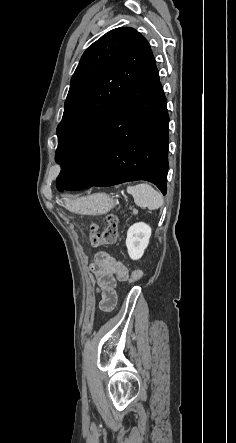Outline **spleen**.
Returning a JSON list of instances; mask_svg holds the SVG:
<instances>
[{"label":"spleen","instance_id":"spleen-1","mask_svg":"<svg viewBox=\"0 0 236 443\" xmlns=\"http://www.w3.org/2000/svg\"><path fill=\"white\" fill-rule=\"evenodd\" d=\"M127 192L134 198V202L139 207H147L149 210H156L163 205L161 193L146 183L128 186Z\"/></svg>","mask_w":236,"mask_h":443}]
</instances>
